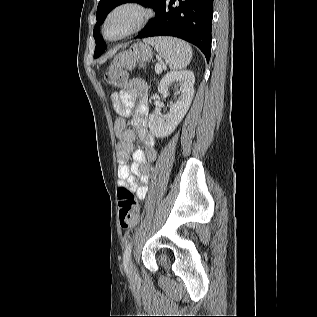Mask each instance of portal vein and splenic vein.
Listing matches in <instances>:
<instances>
[{
	"label": "portal vein and splenic vein",
	"instance_id": "obj_1",
	"mask_svg": "<svg viewBox=\"0 0 317 317\" xmlns=\"http://www.w3.org/2000/svg\"><path fill=\"white\" fill-rule=\"evenodd\" d=\"M156 73H160L162 71V65L161 63H157L155 66Z\"/></svg>",
	"mask_w": 317,
	"mask_h": 317
}]
</instances>
